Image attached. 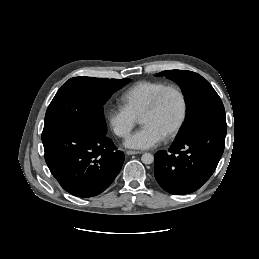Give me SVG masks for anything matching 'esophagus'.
<instances>
[{
    "label": "esophagus",
    "mask_w": 259,
    "mask_h": 259,
    "mask_svg": "<svg viewBox=\"0 0 259 259\" xmlns=\"http://www.w3.org/2000/svg\"><path fill=\"white\" fill-rule=\"evenodd\" d=\"M141 151H133V150H127L126 154L127 155H136V154H141Z\"/></svg>",
    "instance_id": "34e87169"
}]
</instances>
